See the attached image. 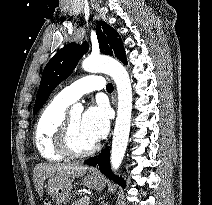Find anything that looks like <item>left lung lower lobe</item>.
Wrapping results in <instances>:
<instances>
[{
  "instance_id": "left-lung-lower-lobe-1",
  "label": "left lung lower lobe",
  "mask_w": 212,
  "mask_h": 205,
  "mask_svg": "<svg viewBox=\"0 0 212 205\" xmlns=\"http://www.w3.org/2000/svg\"><path fill=\"white\" fill-rule=\"evenodd\" d=\"M126 64V61L124 62ZM85 164L90 166L98 165L99 170L110 179H113L115 182L120 184L122 187H125L124 180L119 177H115L111 173L110 168V156H109V148L104 149L98 157H92L84 161Z\"/></svg>"
}]
</instances>
